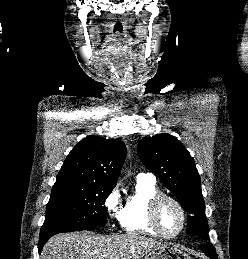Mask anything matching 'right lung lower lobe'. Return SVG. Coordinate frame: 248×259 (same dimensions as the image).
<instances>
[{
  "instance_id": "98d812e1",
  "label": "right lung lower lobe",
  "mask_w": 248,
  "mask_h": 259,
  "mask_svg": "<svg viewBox=\"0 0 248 259\" xmlns=\"http://www.w3.org/2000/svg\"><path fill=\"white\" fill-rule=\"evenodd\" d=\"M53 236V234H50V235H44V236H40L39 238V244H38V251L39 253L41 252L44 244L47 242V240Z\"/></svg>"
}]
</instances>
